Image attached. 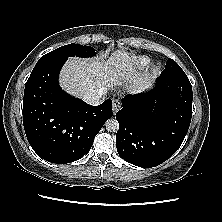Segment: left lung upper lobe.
<instances>
[{
  "mask_svg": "<svg viewBox=\"0 0 222 222\" xmlns=\"http://www.w3.org/2000/svg\"><path fill=\"white\" fill-rule=\"evenodd\" d=\"M162 77H174V78H187L185 72L181 67L172 59H168L166 67L161 73Z\"/></svg>",
  "mask_w": 222,
  "mask_h": 222,
  "instance_id": "1",
  "label": "left lung upper lobe"
}]
</instances>
